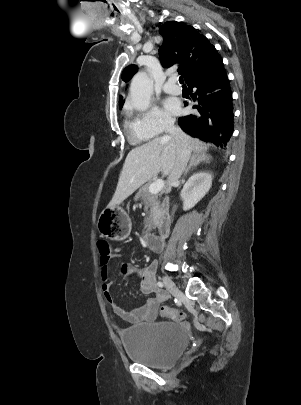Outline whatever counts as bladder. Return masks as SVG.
<instances>
[{
	"label": "bladder",
	"instance_id": "1",
	"mask_svg": "<svg viewBox=\"0 0 301 405\" xmlns=\"http://www.w3.org/2000/svg\"><path fill=\"white\" fill-rule=\"evenodd\" d=\"M120 339L129 359L153 368L172 366L189 344L185 327L173 322L127 327Z\"/></svg>",
	"mask_w": 301,
	"mask_h": 405
}]
</instances>
